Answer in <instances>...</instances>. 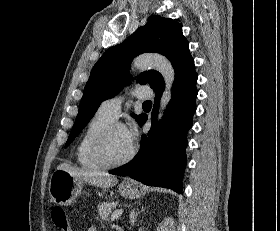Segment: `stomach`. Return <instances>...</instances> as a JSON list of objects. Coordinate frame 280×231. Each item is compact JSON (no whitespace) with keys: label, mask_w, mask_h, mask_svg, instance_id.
<instances>
[{"label":"stomach","mask_w":280,"mask_h":231,"mask_svg":"<svg viewBox=\"0 0 280 231\" xmlns=\"http://www.w3.org/2000/svg\"><path fill=\"white\" fill-rule=\"evenodd\" d=\"M127 181L128 183L119 185L121 195L129 197V199L140 197V189L135 185V181L132 179H127ZM83 185V179L72 177L64 169H55L49 181V195L58 205H70L82 193Z\"/></svg>","instance_id":"0dacf381"}]
</instances>
